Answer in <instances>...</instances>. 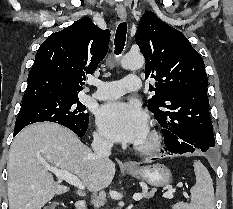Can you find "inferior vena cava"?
Segmentation results:
<instances>
[{"label":"inferior vena cava","instance_id":"602c4592","mask_svg":"<svg viewBox=\"0 0 233 209\" xmlns=\"http://www.w3.org/2000/svg\"><path fill=\"white\" fill-rule=\"evenodd\" d=\"M91 146L96 156L100 158H108L111 154L113 143L101 136H94Z\"/></svg>","mask_w":233,"mask_h":209}]
</instances>
